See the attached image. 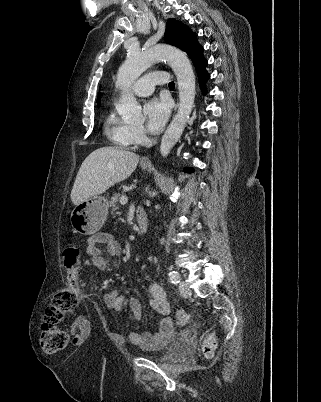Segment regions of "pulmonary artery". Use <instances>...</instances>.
Listing matches in <instances>:
<instances>
[{"label":"pulmonary artery","instance_id":"obj_1","mask_svg":"<svg viewBox=\"0 0 321 402\" xmlns=\"http://www.w3.org/2000/svg\"><path fill=\"white\" fill-rule=\"evenodd\" d=\"M169 83V75L164 71H156L139 78L132 86V91L138 96H148L153 93L156 85Z\"/></svg>","mask_w":321,"mask_h":402}]
</instances>
